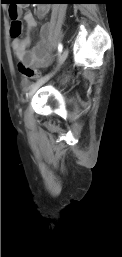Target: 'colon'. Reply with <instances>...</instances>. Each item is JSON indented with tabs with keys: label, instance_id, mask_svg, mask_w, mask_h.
<instances>
[{
	"label": "colon",
	"instance_id": "5ec220e1",
	"mask_svg": "<svg viewBox=\"0 0 122 257\" xmlns=\"http://www.w3.org/2000/svg\"><path fill=\"white\" fill-rule=\"evenodd\" d=\"M7 10H9V16L11 18L10 34L13 38H19L22 34L23 26L18 18V10H24V5H7ZM18 69L25 79H33L39 76L35 68L23 63L19 64Z\"/></svg>",
	"mask_w": 122,
	"mask_h": 257
}]
</instances>
